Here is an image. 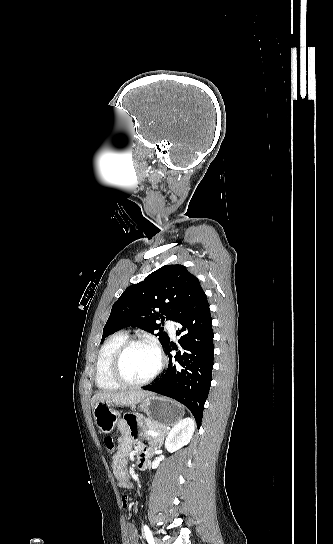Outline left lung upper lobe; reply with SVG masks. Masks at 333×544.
I'll return each instance as SVG.
<instances>
[{"label":"left lung upper lobe","mask_w":333,"mask_h":544,"mask_svg":"<svg viewBox=\"0 0 333 544\" xmlns=\"http://www.w3.org/2000/svg\"><path fill=\"white\" fill-rule=\"evenodd\" d=\"M203 293L199 280L183 265H165L144 281L126 288L112 306L102 341L111 333L132 326L152 334L159 330L155 335L165 348L170 338L161 325L165 320L176 321Z\"/></svg>","instance_id":"5c2ea615"}]
</instances>
